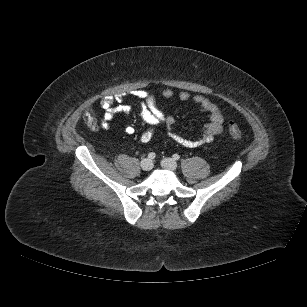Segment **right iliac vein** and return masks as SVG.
<instances>
[{"instance_id":"1","label":"right iliac vein","mask_w":307,"mask_h":307,"mask_svg":"<svg viewBox=\"0 0 307 307\" xmlns=\"http://www.w3.org/2000/svg\"><path fill=\"white\" fill-rule=\"evenodd\" d=\"M140 166L144 171H150L153 168V162L150 159H143Z\"/></svg>"}]
</instances>
